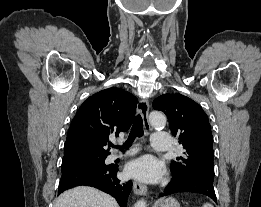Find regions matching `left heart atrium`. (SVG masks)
Masks as SVG:
<instances>
[{
  "label": "left heart atrium",
  "instance_id": "obj_1",
  "mask_svg": "<svg viewBox=\"0 0 261 207\" xmlns=\"http://www.w3.org/2000/svg\"><path fill=\"white\" fill-rule=\"evenodd\" d=\"M125 173L128 177L143 182H155L163 173V164L151 155L141 156L131 161Z\"/></svg>",
  "mask_w": 261,
  "mask_h": 207
}]
</instances>
